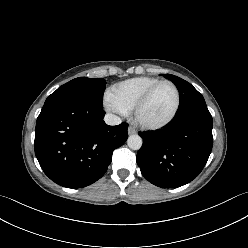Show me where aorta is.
Wrapping results in <instances>:
<instances>
[{
	"label": "aorta",
	"mask_w": 248,
	"mask_h": 248,
	"mask_svg": "<svg viewBox=\"0 0 248 248\" xmlns=\"http://www.w3.org/2000/svg\"><path fill=\"white\" fill-rule=\"evenodd\" d=\"M142 144V138L137 134L130 135L127 139V145L132 150H139L142 147Z\"/></svg>",
	"instance_id": "obj_1"
}]
</instances>
